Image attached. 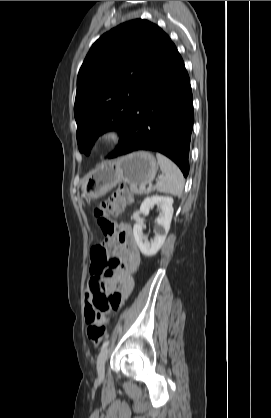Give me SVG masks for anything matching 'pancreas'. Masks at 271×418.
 I'll return each instance as SVG.
<instances>
[{
    "label": "pancreas",
    "instance_id": "1",
    "mask_svg": "<svg viewBox=\"0 0 271 418\" xmlns=\"http://www.w3.org/2000/svg\"><path fill=\"white\" fill-rule=\"evenodd\" d=\"M130 191L134 194H148L152 189H145L144 186H138L136 184H130Z\"/></svg>",
    "mask_w": 271,
    "mask_h": 418
}]
</instances>
